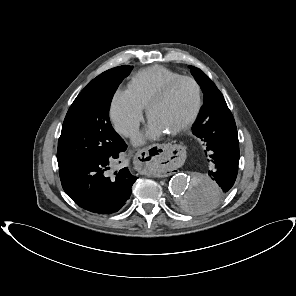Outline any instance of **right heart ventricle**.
<instances>
[{"instance_id":"obj_1","label":"right heart ventricle","mask_w":296,"mask_h":296,"mask_svg":"<svg viewBox=\"0 0 296 296\" xmlns=\"http://www.w3.org/2000/svg\"><path fill=\"white\" fill-rule=\"evenodd\" d=\"M181 74L160 65L138 71L128 82L127 91L143 108L167 84Z\"/></svg>"}]
</instances>
